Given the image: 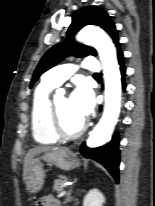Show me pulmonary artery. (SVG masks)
Segmentation results:
<instances>
[{"instance_id":"pulmonary-artery-1","label":"pulmonary artery","mask_w":155,"mask_h":206,"mask_svg":"<svg viewBox=\"0 0 155 206\" xmlns=\"http://www.w3.org/2000/svg\"><path fill=\"white\" fill-rule=\"evenodd\" d=\"M81 66L92 72H97L100 69L99 63L93 57L86 58ZM78 67V65L73 63L58 65L44 74L43 81L59 86L66 81L78 69Z\"/></svg>"}]
</instances>
